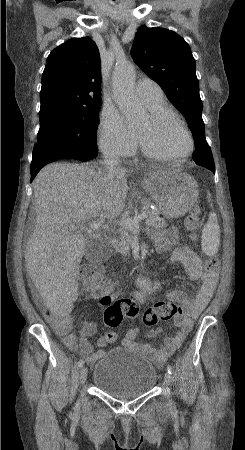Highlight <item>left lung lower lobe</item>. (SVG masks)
<instances>
[{"mask_svg": "<svg viewBox=\"0 0 245 450\" xmlns=\"http://www.w3.org/2000/svg\"><path fill=\"white\" fill-rule=\"evenodd\" d=\"M195 150H196V153L199 151L198 155L194 154L195 158H199V157L205 156L210 153L212 154L211 149L208 146H201V147L196 146ZM200 155H202V156H200ZM200 165L209 168L210 170H212L215 173V164H214L213 157L210 158V162L208 164H200Z\"/></svg>", "mask_w": 245, "mask_h": 450, "instance_id": "1", "label": "left lung lower lobe"}]
</instances>
